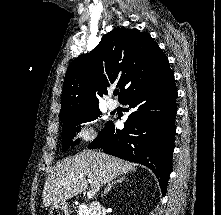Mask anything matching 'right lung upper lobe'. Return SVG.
I'll return each mask as SVG.
<instances>
[{"label":"right lung upper lobe","mask_w":221,"mask_h":215,"mask_svg":"<svg viewBox=\"0 0 221 215\" xmlns=\"http://www.w3.org/2000/svg\"><path fill=\"white\" fill-rule=\"evenodd\" d=\"M167 57L146 32L117 28L87 54L78 56L66 72L60 120L98 107L109 87L120 89L121 102L169 70Z\"/></svg>","instance_id":"cb5924a9"}]
</instances>
